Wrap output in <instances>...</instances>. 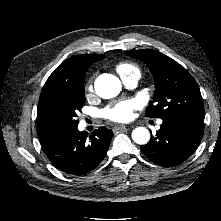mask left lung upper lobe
Returning a JSON list of instances; mask_svg holds the SVG:
<instances>
[{
  "label": "left lung upper lobe",
  "instance_id": "left-lung-upper-lobe-1",
  "mask_svg": "<svg viewBox=\"0 0 221 221\" xmlns=\"http://www.w3.org/2000/svg\"><path fill=\"white\" fill-rule=\"evenodd\" d=\"M125 54L145 62L154 77V104L147 108V117L163 120L175 117L204 119L200 90L183 66L152 49L125 51Z\"/></svg>",
  "mask_w": 221,
  "mask_h": 221
}]
</instances>
